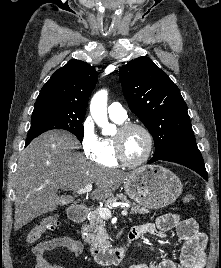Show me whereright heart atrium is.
<instances>
[{
    "instance_id": "right-heart-atrium-1",
    "label": "right heart atrium",
    "mask_w": 221,
    "mask_h": 268,
    "mask_svg": "<svg viewBox=\"0 0 221 268\" xmlns=\"http://www.w3.org/2000/svg\"><path fill=\"white\" fill-rule=\"evenodd\" d=\"M81 147L84 155L91 161L97 160L101 149V138L96 132L91 117H86L81 125Z\"/></svg>"
}]
</instances>
